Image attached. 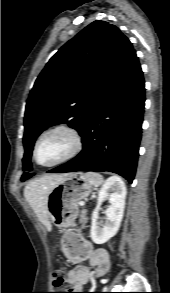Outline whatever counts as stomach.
<instances>
[{"instance_id":"stomach-1","label":"stomach","mask_w":170,"mask_h":293,"mask_svg":"<svg viewBox=\"0 0 170 293\" xmlns=\"http://www.w3.org/2000/svg\"><path fill=\"white\" fill-rule=\"evenodd\" d=\"M91 193V185L82 173L67 174L48 196L50 221L59 228L72 226L77 218L78 202Z\"/></svg>"}]
</instances>
